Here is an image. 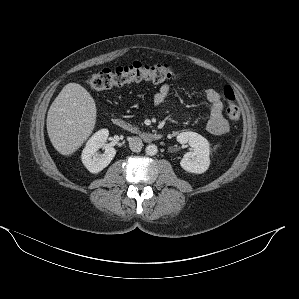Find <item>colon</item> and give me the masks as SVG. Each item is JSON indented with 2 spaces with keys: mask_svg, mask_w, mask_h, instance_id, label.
<instances>
[{
  "mask_svg": "<svg viewBox=\"0 0 299 299\" xmlns=\"http://www.w3.org/2000/svg\"><path fill=\"white\" fill-rule=\"evenodd\" d=\"M179 76V73L169 64L148 65L135 62L131 65L96 72L89 78L88 85L94 90L102 91L134 81L147 80L160 83ZM221 100L226 104L225 112L228 118L237 121L240 117V110L236 104L235 93L230 86L223 88Z\"/></svg>",
  "mask_w": 299,
  "mask_h": 299,
  "instance_id": "obj_1",
  "label": "colon"
}]
</instances>
